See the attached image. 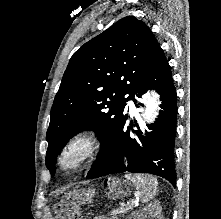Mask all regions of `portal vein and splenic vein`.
Instances as JSON below:
<instances>
[{"label": "portal vein and splenic vein", "instance_id": "1", "mask_svg": "<svg viewBox=\"0 0 221 219\" xmlns=\"http://www.w3.org/2000/svg\"><path fill=\"white\" fill-rule=\"evenodd\" d=\"M136 203V201L135 200H131L130 202H129V204H131V205H133V204H135ZM122 206H124V204H121Z\"/></svg>", "mask_w": 221, "mask_h": 219}]
</instances>
